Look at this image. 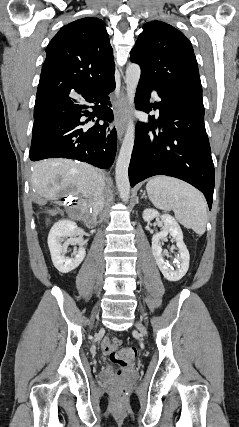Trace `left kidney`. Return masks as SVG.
Instances as JSON below:
<instances>
[{
    "label": "left kidney",
    "instance_id": "5707ae66",
    "mask_svg": "<svg viewBox=\"0 0 239 427\" xmlns=\"http://www.w3.org/2000/svg\"><path fill=\"white\" fill-rule=\"evenodd\" d=\"M156 217L161 218L164 223V227L161 232L154 234L152 237L153 256L163 276L169 281H178L188 271L190 260L188 249L183 241L182 230L174 217L169 214L160 215L154 209H146L143 212V219L146 222H149ZM168 235H171L175 239L180 254V257L175 261V268H173L168 262L164 261L162 256L160 240L164 239Z\"/></svg>",
    "mask_w": 239,
    "mask_h": 427
}]
</instances>
